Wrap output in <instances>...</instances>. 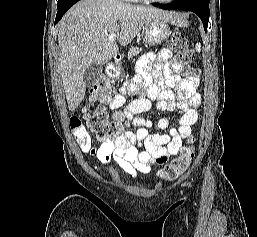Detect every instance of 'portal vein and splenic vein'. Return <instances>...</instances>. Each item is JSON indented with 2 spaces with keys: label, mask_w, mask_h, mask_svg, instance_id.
Listing matches in <instances>:
<instances>
[{
  "label": "portal vein and splenic vein",
  "mask_w": 257,
  "mask_h": 237,
  "mask_svg": "<svg viewBox=\"0 0 257 237\" xmlns=\"http://www.w3.org/2000/svg\"><path fill=\"white\" fill-rule=\"evenodd\" d=\"M108 40H109V41H115V40H116V34H115V33L109 34Z\"/></svg>",
  "instance_id": "obj_1"
}]
</instances>
